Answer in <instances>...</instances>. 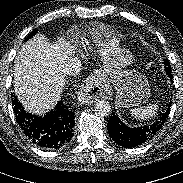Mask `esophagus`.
<instances>
[{"instance_id": "esophagus-1", "label": "esophagus", "mask_w": 183, "mask_h": 183, "mask_svg": "<svg viewBox=\"0 0 183 183\" xmlns=\"http://www.w3.org/2000/svg\"><path fill=\"white\" fill-rule=\"evenodd\" d=\"M111 86L98 73L88 77L78 93L81 104L90 105L99 98H109L111 96Z\"/></svg>"}]
</instances>
